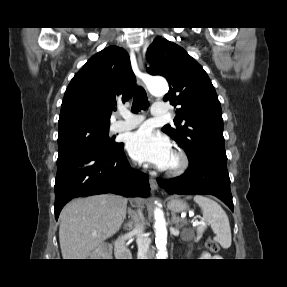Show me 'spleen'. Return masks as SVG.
<instances>
[{
    "mask_svg": "<svg viewBox=\"0 0 287 287\" xmlns=\"http://www.w3.org/2000/svg\"><path fill=\"white\" fill-rule=\"evenodd\" d=\"M192 198L187 196V199ZM194 201L200 206L205 222L210 224L213 232L216 234V240L227 249L231 246V228L229 219L223 208L214 200L202 196H194Z\"/></svg>",
    "mask_w": 287,
    "mask_h": 287,
    "instance_id": "obj_1",
    "label": "spleen"
}]
</instances>
